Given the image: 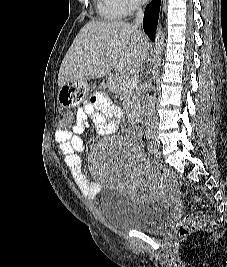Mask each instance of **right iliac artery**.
Wrapping results in <instances>:
<instances>
[{
  "label": "right iliac artery",
  "mask_w": 227,
  "mask_h": 267,
  "mask_svg": "<svg viewBox=\"0 0 227 267\" xmlns=\"http://www.w3.org/2000/svg\"><path fill=\"white\" fill-rule=\"evenodd\" d=\"M148 152H149V154H154L155 153V150L153 149L152 146H149L148 147Z\"/></svg>",
  "instance_id": "obj_1"
}]
</instances>
